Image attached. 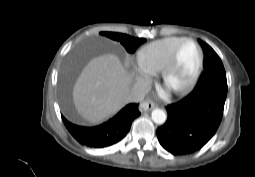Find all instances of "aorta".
<instances>
[{"label":"aorta","instance_id":"762f6f07","mask_svg":"<svg viewBox=\"0 0 255 177\" xmlns=\"http://www.w3.org/2000/svg\"><path fill=\"white\" fill-rule=\"evenodd\" d=\"M151 118L154 123L163 124L167 119V115L162 109H154L151 113Z\"/></svg>","mask_w":255,"mask_h":177}]
</instances>
